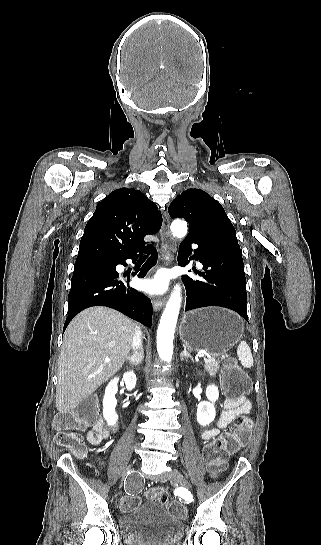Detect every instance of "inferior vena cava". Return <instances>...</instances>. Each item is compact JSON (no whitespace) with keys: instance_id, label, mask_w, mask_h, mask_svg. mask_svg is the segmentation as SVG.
I'll return each mask as SVG.
<instances>
[{"instance_id":"obj_1","label":"inferior vena cava","mask_w":321,"mask_h":545,"mask_svg":"<svg viewBox=\"0 0 321 545\" xmlns=\"http://www.w3.org/2000/svg\"><path fill=\"white\" fill-rule=\"evenodd\" d=\"M137 331H135V335L133 337L132 341V349L135 351L136 355H138L140 349H142V333L139 329V327H136Z\"/></svg>"}]
</instances>
